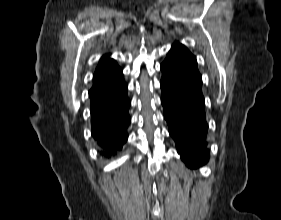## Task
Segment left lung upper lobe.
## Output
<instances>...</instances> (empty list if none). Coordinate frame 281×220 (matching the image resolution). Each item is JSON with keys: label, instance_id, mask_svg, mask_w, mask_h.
Here are the masks:
<instances>
[{"label": "left lung upper lobe", "instance_id": "1", "mask_svg": "<svg viewBox=\"0 0 281 220\" xmlns=\"http://www.w3.org/2000/svg\"><path fill=\"white\" fill-rule=\"evenodd\" d=\"M174 47H185V46H183V45H181V44H179V43H175V44L172 46V48H174Z\"/></svg>", "mask_w": 281, "mask_h": 220}]
</instances>
